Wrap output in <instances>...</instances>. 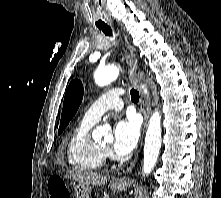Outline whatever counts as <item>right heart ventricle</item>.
Returning a JSON list of instances; mask_svg holds the SVG:
<instances>
[{
  "instance_id": "1",
  "label": "right heart ventricle",
  "mask_w": 221,
  "mask_h": 198,
  "mask_svg": "<svg viewBox=\"0 0 221 198\" xmlns=\"http://www.w3.org/2000/svg\"><path fill=\"white\" fill-rule=\"evenodd\" d=\"M94 123L82 120L72 131L67 142L69 164L83 171L99 170L105 162V150L90 137Z\"/></svg>"
}]
</instances>
